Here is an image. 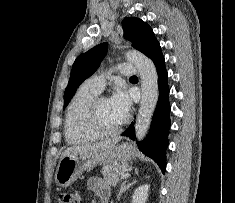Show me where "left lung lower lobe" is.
Wrapping results in <instances>:
<instances>
[{
    "instance_id": "left-lung-lower-lobe-1",
    "label": "left lung lower lobe",
    "mask_w": 235,
    "mask_h": 203,
    "mask_svg": "<svg viewBox=\"0 0 235 203\" xmlns=\"http://www.w3.org/2000/svg\"><path fill=\"white\" fill-rule=\"evenodd\" d=\"M154 62L159 83V100L152 118L151 127L147 138L143 142H137L139 149L148 157L152 158L162 172L166 169V148L168 146V131L170 128V104L169 88L167 83V71L161 47L157 41L147 53ZM122 136L135 140L134 123L126 129Z\"/></svg>"
}]
</instances>
